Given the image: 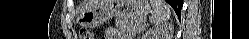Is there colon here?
Here are the masks:
<instances>
[{
  "label": "colon",
  "mask_w": 249,
  "mask_h": 39,
  "mask_svg": "<svg viewBox=\"0 0 249 39\" xmlns=\"http://www.w3.org/2000/svg\"><path fill=\"white\" fill-rule=\"evenodd\" d=\"M79 37L81 39H93L94 37L88 32L87 29L82 28L79 30Z\"/></svg>",
  "instance_id": "1"
}]
</instances>
